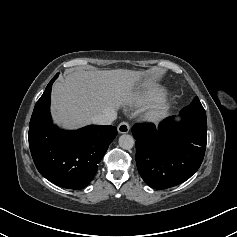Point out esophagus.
<instances>
[{
	"label": "esophagus",
	"mask_w": 237,
	"mask_h": 237,
	"mask_svg": "<svg viewBox=\"0 0 237 237\" xmlns=\"http://www.w3.org/2000/svg\"><path fill=\"white\" fill-rule=\"evenodd\" d=\"M129 130H130V126H129V123L126 121H123L118 125V132L120 134L128 133Z\"/></svg>",
	"instance_id": "esophagus-1"
}]
</instances>
